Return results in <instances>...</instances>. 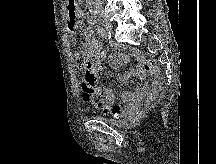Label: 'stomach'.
<instances>
[{"mask_svg":"<svg viewBox=\"0 0 216 164\" xmlns=\"http://www.w3.org/2000/svg\"><path fill=\"white\" fill-rule=\"evenodd\" d=\"M79 9H66V14H79Z\"/></svg>","mask_w":216,"mask_h":164,"instance_id":"stomach-1","label":"stomach"}]
</instances>
